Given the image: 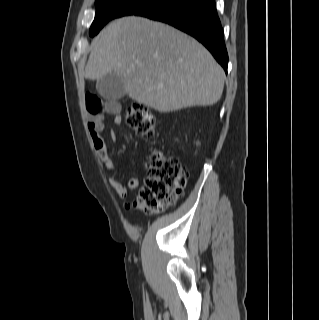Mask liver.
<instances>
[{
  "label": "liver",
  "mask_w": 319,
  "mask_h": 320,
  "mask_svg": "<svg viewBox=\"0 0 319 320\" xmlns=\"http://www.w3.org/2000/svg\"><path fill=\"white\" fill-rule=\"evenodd\" d=\"M85 77L116 73L129 97L159 112L209 106L225 73L209 51L181 31L137 16L117 19L92 41Z\"/></svg>",
  "instance_id": "6515ba94"
}]
</instances>
